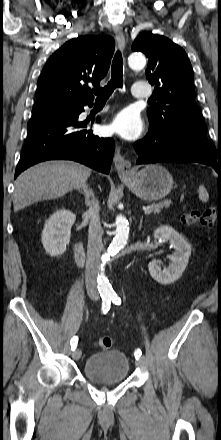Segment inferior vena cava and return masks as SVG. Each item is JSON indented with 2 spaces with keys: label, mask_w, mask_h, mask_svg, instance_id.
<instances>
[{
  "label": "inferior vena cava",
  "mask_w": 221,
  "mask_h": 440,
  "mask_svg": "<svg viewBox=\"0 0 221 440\" xmlns=\"http://www.w3.org/2000/svg\"><path fill=\"white\" fill-rule=\"evenodd\" d=\"M99 202L95 198L89 205L86 214L90 219L88 230L87 261L85 281L88 291L97 294V277L99 274L100 253L103 248V229L99 220Z\"/></svg>",
  "instance_id": "inferior-vena-cava-1"
}]
</instances>
